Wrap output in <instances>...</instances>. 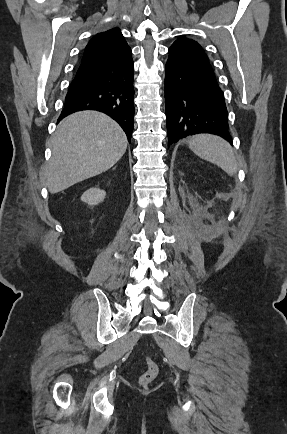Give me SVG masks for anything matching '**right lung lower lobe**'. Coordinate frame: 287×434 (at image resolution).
I'll list each match as a JSON object with an SVG mask.
<instances>
[{"mask_svg":"<svg viewBox=\"0 0 287 434\" xmlns=\"http://www.w3.org/2000/svg\"><path fill=\"white\" fill-rule=\"evenodd\" d=\"M134 63L131 54L79 67L58 119L81 110H98L113 118L131 140L134 118Z\"/></svg>","mask_w":287,"mask_h":434,"instance_id":"1","label":"right lung lower lobe"}]
</instances>
